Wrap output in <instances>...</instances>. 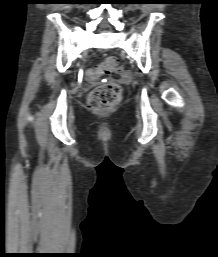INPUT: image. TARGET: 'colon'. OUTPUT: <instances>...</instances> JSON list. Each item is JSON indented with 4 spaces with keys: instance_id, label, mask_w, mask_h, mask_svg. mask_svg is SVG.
Segmentation results:
<instances>
[{
    "instance_id": "obj_1",
    "label": "colon",
    "mask_w": 218,
    "mask_h": 257,
    "mask_svg": "<svg viewBox=\"0 0 218 257\" xmlns=\"http://www.w3.org/2000/svg\"><path fill=\"white\" fill-rule=\"evenodd\" d=\"M111 73H118L117 79H134L133 71L123 70L114 56L105 58L98 66L90 70L88 77L92 83H95L102 76ZM121 94L122 89L118 84L100 85L90 93L87 101L88 108L98 113L109 111L119 103Z\"/></svg>"
}]
</instances>
